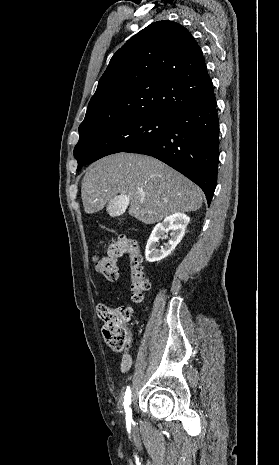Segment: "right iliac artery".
<instances>
[{"label": "right iliac artery", "instance_id": "1", "mask_svg": "<svg viewBox=\"0 0 279 465\" xmlns=\"http://www.w3.org/2000/svg\"><path fill=\"white\" fill-rule=\"evenodd\" d=\"M125 400H124V408H125V414H126V422L131 423L132 421V410L129 407L131 404V389L130 387H127L126 392H125Z\"/></svg>", "mask_w": 279, "mask_h": 465}]
</instances>
